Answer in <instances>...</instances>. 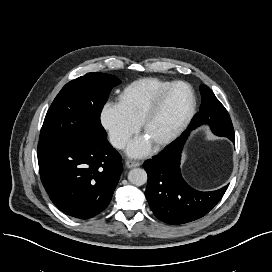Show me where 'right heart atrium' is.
Wrapping results in <instances>:
<instances>
[{
	"mask_svg": "<svg viewBox=\"0 0 272 272\" xmlns=\"http://www.w3.org/2000/svg\"><path fill=\"white\" fill-rule=\"evenodd\" d=\"M99 121L109 142L118 149L123 148L138 130V125L131 121L118 103H105L100 110Z\"/></svg>",
	"mask_w": 272,
	"mask_h": 272,
	"instance_id": "d8ad5b80",
	"label": "right heart atrium"
}]
</instances>
